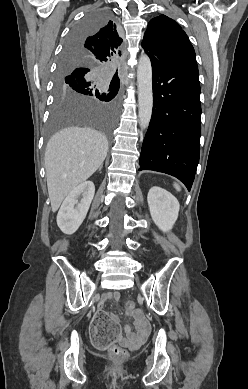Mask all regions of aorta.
Instances as JSON below:
<instances>
[{
    "instance_id": "762f6f07",
    "label": "aorta",
    "mask_w": 248,
    "mask_h": 389,
    "mask_svg": "<svg viewBox=\"0 0 248 389\" xmlns=\"http://www.w3.org/2000/svg\"><path fill=\"white\" fill-rule=\"evenodd\" d=\"M139 124L146 129L150 123L153 107L152 67L149 57L142 54L137 67Z\"/></svg>"
}]
</instances>
